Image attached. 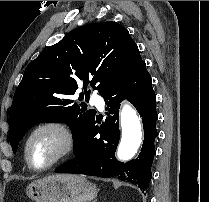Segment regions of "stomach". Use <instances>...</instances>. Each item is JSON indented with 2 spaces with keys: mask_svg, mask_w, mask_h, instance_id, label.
Instances as JSON below:
<instances>
[{
  "mask_svg": "<svg viewBox=\"0 0 209 202\" xmlns=\"http://www.w3.org/2000/svg\"><path fill=\"white\" fill-rule=\"evenodd\" d=\"M26 194L34 202H89L97 189L82 175L53 174L31 182Z\"/></svg>",
  "mask_w": 209,
  "mask_h": 202,
  "instance_id": "obj_1",
  "label": "stomach"
}]
</instances>
